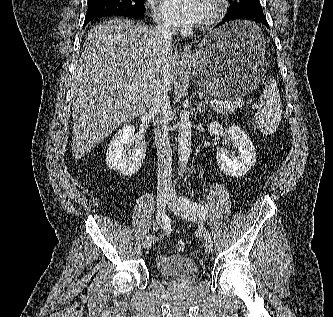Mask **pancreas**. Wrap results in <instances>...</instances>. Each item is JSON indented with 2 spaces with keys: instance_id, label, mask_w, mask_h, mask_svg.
Returning a JSON list of instances; mask_svg holds the SVG:
<instances>
[{
  "instance_id": "obj_1",
  "label": "pancreas",
  "mask_w": 333,
  "mask_h": 317,
  "mask_svg": "<svg viewBox=\"0 0 333 317\" xmlns=\"http://www.w3.org/2000/svg\"><path fill=\"white\" fill-rule=\"evenodd\" d=\"M237 105H229V103H222V104H214L212 108L220 114L225 116L231 115L236 111Z\"/></svg>"
}]
</instances>
